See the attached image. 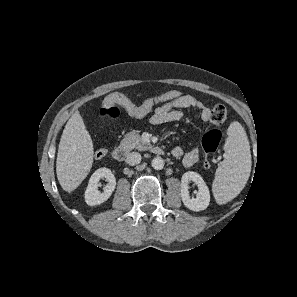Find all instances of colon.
Here are the masks:
<instances>
[{
  "label": "colon",
  "mask_w": 297,
  "mask_h": 297,
  "mask_svg": "<svg viewBox=\"0 0 297 297\" xmlns=\"http://www.w3.org/2000/svg\"><path fill=\"white\" fill-rule=\"evenodd\" d=\"M181 96H182V92L178 90H169L161 93L158 96L145 100L141 104V106L143 110L147 111L154 108L159 103L173 101L178 99ZM116 103H119V104L124 103L127 106H131V104H133L134 102L126 95L121 93H116L101 103V106L99 108V114L103 117H108V118L119 117L120 110L117 107ZM226 120H227L226 107L223 105L214 106L209 116L210 124L215 128H220L225 124ZM220 142H221V133L218 129H214L208 132L203 137L202 144L205 151L204 163L207 169L211 168L212 166L213 157L219 147ZM106 155H107L106 148H99L95 151V157L98 159L104 158Z\"/></svg>",
  "instance_id": "5ec220e1"
}]
</instances>
